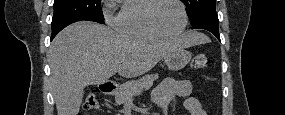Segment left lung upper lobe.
<instances>
[{
	"instance_id": "obj_1",
	"label": "left lung upper lobe",
	"mask_w": 285,
	"mask_h": 115,
	"mask_svg": "<svg viewBox=\"0 0 285 115\" xmlns=\"http://www.w3.org/2000/svg\"><path fill=\"white\" fill-rule=\"evenodd\" d=\"M216 0H182L186 6V12L191 24H194L201 17L216 13Z\"/></svg>"
}]
</instances>
